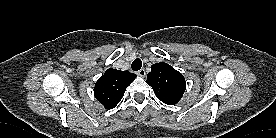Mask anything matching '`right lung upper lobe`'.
Segmentation results:
<instances>
[{
  "label": "right lung upper lobe",
  "mask_w": 276,
  "mask_h": 138,
  "mask_svg": "<svg viewBox=\"0 0 276 138\" xmlns=\"http://www.w3.org/2000/svg\"><path fill=\"white\" fill-rule=\"evenodd\" d=\"M135 78L136 75L129 71L109 68L96 82L94 95L106 109H113Z\"/></svg>",
  "instance_id": "right-lung-upper-lobe-1"
}]
</instances>
